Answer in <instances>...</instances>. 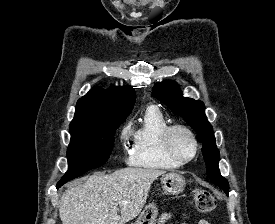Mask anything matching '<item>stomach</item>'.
Returning <instances> with one entry per match:
<instances>
[{
    "instance_id": "1",
    "label": "stomach",
    "mask_w": 275,
    "mask_h": 224,
    "mask_svg": "<svg viewBox=\"0 0 275 224\" xmlns=\"http://www.w3.org/2000/svg\"><path fill=\"white\" fill-rule=\"evenodd\" d=\"M186 185L184 177L169 173L161 177V187L164 194L177 195L183 192ZM158 209L155 204H149L140 213L137 220L131 224H156Z\"/></svg>"
}]
</instances>
